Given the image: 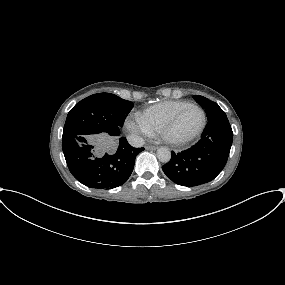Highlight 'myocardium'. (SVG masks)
Masks as SVG:
<instances>
[{"mask_svg":"<svg viewBox=\"0 0 285 285\" xmlns=\"http://www.w3.org/2000/svg\"><path fill=\"white\" fill-rule=\"evenodd\" d=\"M190 108H195V109L199 110L200 113L202 114L201 125L199 126V128L194 133H192L189 136H186L183 138L174 137L172 135V131L177 126V124H178L179 120L181 119V117L183 116V114ZM205 125H206V114H205L204 110L195 104H189V105L185 106L184 108L180 109L166 124H164L160 133H161L162 138L164 139V141L166 143L173 145V146H181V145L187 144L188 142H190L193 139H195L196 137H198L202 133V131L204 130Z\"/></svg>","mask_w":285,"mask_h":285,"instance_id":"myocardium-1","label":"myocardium"}]
</instances>
